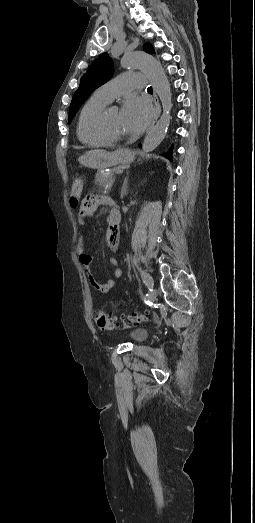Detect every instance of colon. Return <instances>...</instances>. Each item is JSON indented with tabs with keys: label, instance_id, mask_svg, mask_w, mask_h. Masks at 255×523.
I'll return each instance as SVG.
<instances>
[{
	"label": "colon",
	"instance_id": "5ec220e1",
	"mask_svg": "<svg viewBox=\"0 0 255 523\" xmlns=\"http://www.w3.org/2000/svg\"><path fill=\"white\" fill-rule=\"evenodd\" d=\"M84 180L80 176L73 178L70 188V203L77 207L83 196ZM148 319L147 314H132L125 319V322L140 323ZM95 321L99 328L103 330H113L117 327V321L105 310H98L95 314Z\"/></svg>",
	"mask_w": 255,
	"mask_h": 523
}]
</instances>
